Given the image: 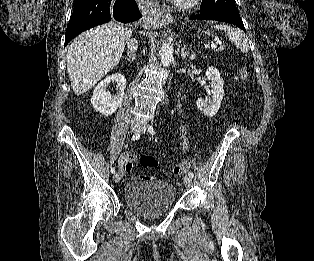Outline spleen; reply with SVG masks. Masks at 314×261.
<instances>
[{"instance_id":"1","label":"spleen","mask_w":314,"mask_h":261,"mask_svg":"<svg viewBox=\"0 0 314 261\" xmlns=\"http://www.w3.org/2000/svg\"><path fill=\"white\" fill-rule=\"evenodd\" d=\"M214 28L224 31L241 52L248 53L249 45L242 31L228 25H216Z\"/></svg>"}]
</instances>
